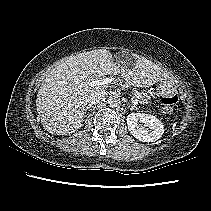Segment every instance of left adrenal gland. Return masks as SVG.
Listing matches in <instances>:
<instances>
[{"label":"left adrenal gland","mask_w":211,"mask_h":211,"mask_svg":"<svg viewBox=\"0 0 211 211\" xmlns=\"http://www.w3.org/2000/svg\"><path fill=\"white\" fill-rule=\"evenodd\" d=\"M128 109H130V110H137V107L136 106H132V105H128Z\"/></svg>","instance_id":"1"}]
</instances>
